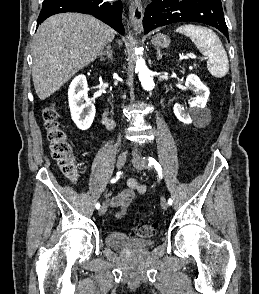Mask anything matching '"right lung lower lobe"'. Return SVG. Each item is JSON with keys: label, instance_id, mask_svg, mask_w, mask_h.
<instances>
[{"label": "right lung lower lobe", "instance_id": "98d812e1", "mask_svg": "<svg viewBox=\"0 0 259 294\" xmlns=\"http://www.w3.org/2000/svg\"><path fill=\"white\" fill-rule=\"evenodd\" d=\"M121 10V1L47 0L43 2L37 25L41 24L46 18L57 13L79 12L93 15L123 35L124 28L121 21Z\"/></svg>", "mask_w": 259, "mask_h": 294}]
</instances>
